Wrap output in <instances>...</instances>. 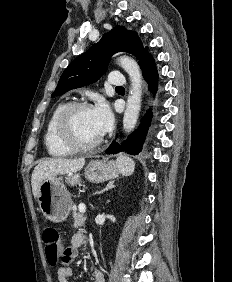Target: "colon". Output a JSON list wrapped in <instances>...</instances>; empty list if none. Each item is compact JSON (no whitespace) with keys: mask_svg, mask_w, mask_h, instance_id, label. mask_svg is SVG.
Wrapping results in <instances>:
<instances>
[{"mask_svg":"<svg viewBox=\"0 0 232 282\" xmlns=\"http://www.w3.org/2000/svg\"><path fill=\"white\" fill-rule=\"evenodd\" d=\"M45 256L51 266H55L60 259L68 253L62 249V241L59 232L53 227H46L42 234Z\"/></svg>","mask_w":232,"mask_h":282,"instance_id":"1","label":"colon"}]
</instances>
